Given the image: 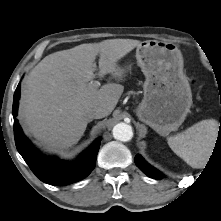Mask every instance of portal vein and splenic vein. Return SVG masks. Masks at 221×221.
Wrapping results in <instances>:
<instances>
[{"instance_id":"portal-vein-and-splenic-vein-1","label":"portal vein and splenic vein","mask_w":221,"mask_h":221,"mask_svg":"<svg viewBox=\"0 0 221 221\" xmlns=\"http://www.w3.org/2000/svg\"><path fill=\"white\" fill-rule=\"evenodd\" d=\"M91 84L95 87H99L100 82L99 81H91Z\"/></svg>"}]
</instances>
